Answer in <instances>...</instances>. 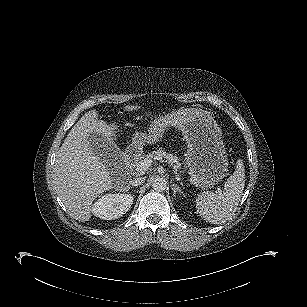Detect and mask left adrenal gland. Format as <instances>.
Returning a JSON list of instances; mask_svg holds the SVG:
<instances>
[{"instance_id": "a2214340", "label": "left adrenal gland", "mask_w": 307, "mask_h": 307, "mask_svg": "<svg viewBox=\"0 0 307 307\" xmlns=\"http://www.w3.org/2000/svg\"><path fill=\"white\" fill-rule=\"evenodd\" d=\"M172 191H173V195L176 197V193L182 195L183 197H185V194L183 193V191H181L180 187L175 185V184H172V187H171Z\"/></svg>"}]
</instances>
